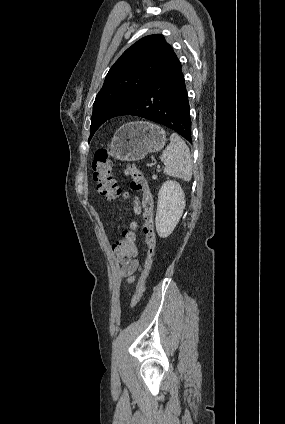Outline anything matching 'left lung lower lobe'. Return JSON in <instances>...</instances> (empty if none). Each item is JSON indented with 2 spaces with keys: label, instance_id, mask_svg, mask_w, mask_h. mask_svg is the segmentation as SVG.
I'll return each instance as SVG.
<instances>
[{
  "label": "left lung lower lobe",
  "instance_id": "1",
  "mask_svg": "<svg viewBox=\"0 0 285 424\" xmlns=\"http://www.w3.org/2000/svg\"><path fill=\"white\" fill-rule=\"evenodd\" d=\"M132 115L165 125L189 142L191 119L181 63L174 53L159 76L111 117Z\"/></svg>",
  "mask_w": 285,
  "mask_h": 424
}]
</instances>
